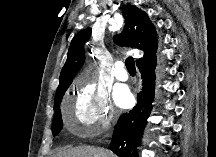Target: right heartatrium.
I'll return each instance as SVG.
<instances>
[{"label":"right heart atrium","mask_w":216,"mask_h":157,"mask_svg":"<svg viewBox=\"0 0 216 157\" xmlns=\"http://www.w3.org/2000/svg\"><path fill=\"white\" fill-rule=\"evenodd\" d=\"M77 91L70 119L73 131L81 136H91L108 129L117 119L118 112L107 92L84 80L77 83Z\"/></svg>","instance_id":"1"}]
</instances>
